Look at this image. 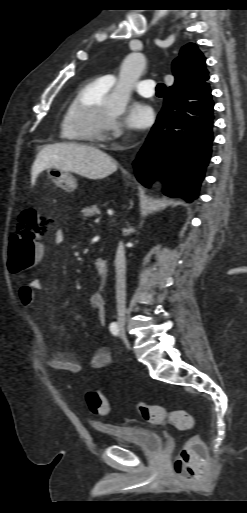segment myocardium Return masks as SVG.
I'll use <instances>...</instances> for the list:
<instances>
[{"label":"myocardium","instance_id":"myocardium-1","mask_svg":"<svg viewBox=\"0 0 247 513\" xmlns=\"http://www.w3.org/2000/svg\"><path fill=\"white\" fill-rule=\"evenodd\" d=\"M111 114L105 105L100 110L94 111L87 116L84 128L91 131L95 136L102 138L110 127Z\"/></svg>","mask_w":247,"mask_h":513}]
</instances>
